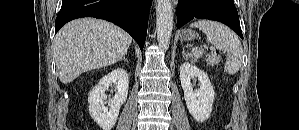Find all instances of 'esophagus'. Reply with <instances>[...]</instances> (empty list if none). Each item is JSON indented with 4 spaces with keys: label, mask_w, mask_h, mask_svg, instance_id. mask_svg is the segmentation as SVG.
Listing matches in <instances>:
<instances>
[{
    "label": "esophagus",
    "mask_w": 299,
    "mask_h": 130,
    "mask_svg": "<svg viewBox=\"0 0 299 130\" xmlns=\"http://www.w3.org/2000/svg\"><path fill=\"white\" fill-rule=\"evenodd\" d=\"M173 1V4H174V6H176L177 5V0H172Z\"/></svg>",
    "instance_id": "obj_1"
}]
</instances>
